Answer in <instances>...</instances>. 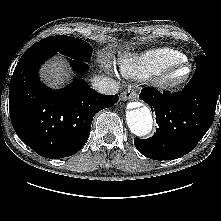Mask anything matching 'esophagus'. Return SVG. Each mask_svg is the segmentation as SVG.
I'll list each match as a JSON object with an SVG mask.
<instances>
[{
    "mask_svg": "<svg viewBox=\"0 0 221 221\" xmlns=\"http://www.w3.org/2000/svg\"><path fill=\"white\" fill-rule=\"evenodd\" d=\"M123 100H134L137 98V93L135 89L128 88L121 95Z\"/></svg>",
    "mask_w": 221,
    "mask_h": 221,
    "instance_id": "1",
    "label": "esophagus"
}]
</instances>
